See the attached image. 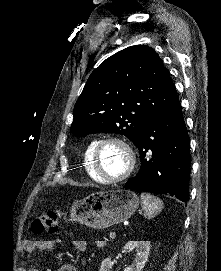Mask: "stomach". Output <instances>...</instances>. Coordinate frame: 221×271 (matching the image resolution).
I'll use <instances>...</instances> for the list:
<instances>
[{
  "label": "stomach",
  "mask_w": 221,
  "mask_h": 271,
  "mask_svg": "<svg viewBox=\"0 0 221 271\" xmlns=\"http://www.w3.org/2000/svg\"><path fill=\"white\" fill-rule=\"evenodd\" d=\"M139 203L138 195L130 189L91 193L81 203L73 205V219L94 229H106L129 219Z\"/></svg>",
  "instance_id": "1"
}]
</instances>
